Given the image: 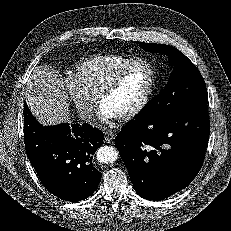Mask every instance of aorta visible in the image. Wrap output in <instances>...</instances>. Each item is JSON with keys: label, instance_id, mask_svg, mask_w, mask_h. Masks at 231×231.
I'll list each match as a JSON object with an SVG mask.
<instances>
[{"label": "aorta", "instance_id": "aorta-1", "mask_svg": "<svg viewBox=\"0 0 231 231\" xmlns=\"http://www.w3.org/2000/svg\"><path fill=\"white\" fill-rule=\"evenodd\" d=\"M97 160L101 163L110 164L117 160L118 151L112 146H103L97 151Z\"/></svg>", "mask_w": 231, "mask_h": 231}]
</instances>
